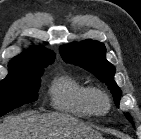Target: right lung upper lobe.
I'll return each mask as SVG.
<instances>
[{
  "label": "right lung upper lobe",
  "instance_id": "cb5924a9",
  "mask_svg": "<svg viewBox=\"0 0 141 139\" xmlns=\"http://www.w3.org/2000/svg\"><path fill=\"white\" fill-rule=\"evenodd\" d=\"M54 58L55 54L50 50L41 46H32L14 57L8 66L9 70L22 67L47 66L54 61Z\"/></svg>",
  "mask_w": 141,
  "mask_h": 139
}]
</instances>
